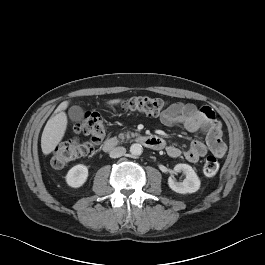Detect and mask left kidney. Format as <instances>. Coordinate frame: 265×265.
<instances>
[{"instance_id": "left-kidney-1", "label": "left kidney", "mask_w": 265, "mask_h": 265, "mask_svg": "<svg viewBox=\"0 0 265 265\" xmlns=\"http://www.w3.org/2000/svg\"><path fill=\"white\" fill-rule=\"evenodd\" d=\"M183 172L186 178L182 182H177L173 177L168 178L169 187L180 194L194 193L200 188V179L194 169L188 164H177L174 173Z\"/></svg>"}]
</instances>
